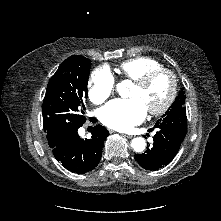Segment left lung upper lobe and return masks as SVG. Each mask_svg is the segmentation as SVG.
Returning a JSON list of instances; mask_svg holds the SVG:
<instances>
[{
    "label": "left lung upper lobe",
    "mask_w": 221,
    "mask_h": 221,
    "mask_svg": "<svg viewBox=\"0 0 221 221\" xmlns=\"http://www.w3.org/2000/svg\"><path fill=\"white\" fill-rule=\"evenodd\" d=\"M184 103L185 95L184 91L181 90L179 95L176 97L175 102L170 106L169 110L156 122L155 125L159 123H166L186 133L187 117Z\"/></svg>",
    "instance_id": "obj_1"
}]
</instances>
